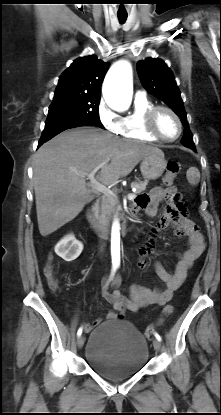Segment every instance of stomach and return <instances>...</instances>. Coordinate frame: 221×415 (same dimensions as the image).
<instances>
[{
    "label": "stomach",
    "instance_id": "stomach-1",
    "mask_svg": "<svg viewBox=\"0 0 221 415\" xmlns=\"http://www.w3.org/2000/svg\"><path fill=\"white\" fill-rule=\"evenodd\" d=\"M166 168L163 152L152 153L144 157L140 164L142 176L147 180H156L162 176Z\"/></svg>",
    "mask_w": 221,
    "mask_h": 415
}]
</instances>
